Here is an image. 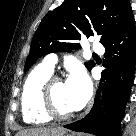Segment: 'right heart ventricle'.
I'll return each mask as SVG.
<instances>
[{"mask_svg": "<svg viewBox=\"0 0 136 136\" xmlns=\"http://www.w3.org/2000/svg\"><path fill=\"white\" fill-rule=\"evenodd\" d=\"M53 70L44 63L36 66L26 77L21 93L23 119L28 124H45L51 120L41 104V92Z\"/></svg>", "mask_w": 136, "mask_h": 136, "instance_id": "e07e8e85", "label": "right heart ventricle"}]
</instances>
